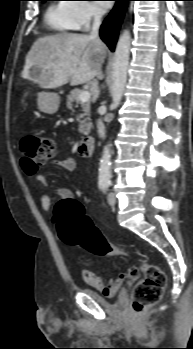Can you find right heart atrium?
Listing matches in <instances>:
<instances>
[{
	"label": "right heart atrium",
	"mask_w": 193,
	"mask_h": 349,
	"mask_svg": "<svg viewBox=\"0 0 193 349\" xmlns=\"http://www.w3.org/2000/svg\"><path fill=\"white\" fill-rule=\"evenodd\" d=\"M70 11L79 29L88 27L102 15L100 9L89 0H72Z\"/></svg>",
	"instance_id": "d8ad5b80"
}]
</instances>
